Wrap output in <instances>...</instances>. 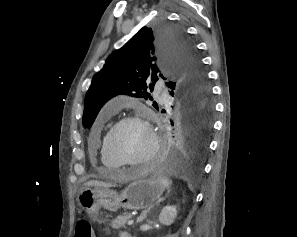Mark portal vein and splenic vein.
<instances>
[{
  "label": "portal vein and splenic vein",
  "instance_id": "obj_1",
  "mask_svg": "<svg viewBox=\"0 0 297 237\" xmlns=\"http://www.w3.org/2000/svg\"><path fill=\"white\" fill-rule=\"evenodd\" d=\"M133 223H134V220H129L127 224L130 226V225H133Z\"/></svg>",
  "mask_w": 297,
  "mask_h": 237
}]
</instances>
